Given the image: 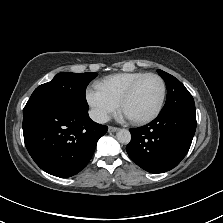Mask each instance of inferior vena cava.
Returning a JSON list of instances; mask_svg holds the SVG:
<instances>
[{
  "label": "inferior vena cava",
  "mask_w": 223,
  "mask_h": 223,
  "mask_svg": "<svg viewBox=\"0 0 223 223\" xmlns=\"http://www.w3.org/2000/svg\"><path fill=\"white\" fill-rule=\"evenodd\" d=\"M89 117L93 121H95L97 123H100V124H104V123H107L109 121V116L105 112H103L99 109L89 110Z\"/></svg>",
  "instance_id": "obj_1"
}]
</instances>
